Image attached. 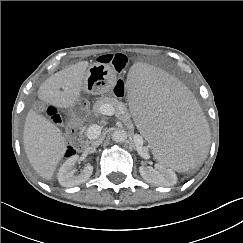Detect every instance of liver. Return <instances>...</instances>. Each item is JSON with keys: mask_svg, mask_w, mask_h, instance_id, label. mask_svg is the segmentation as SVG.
Returning <instances> with one entry per match:
<instances>
[{"mask_svg": "<svg viewBox=\"0 0 243 243\" xmlns=\"http://www.w3.org/2000/svg\"><path fill=\"white\" fill-rule=\"evenodd\" d=\"M88 65V61H81L50 76L40 86L39 98L59 108L73 107L80 99ZM23 144L33 169L42 178L50 180L67 147L61 130L30 110L24 124Z\"/></svg>", "mask_w": 243, "mask_h": 243, "instance_id": "obj_1", "label": "liver"}]
</instances>
